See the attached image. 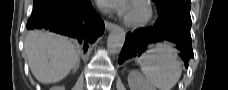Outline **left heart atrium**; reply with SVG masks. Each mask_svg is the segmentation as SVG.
Instances as JSON below:
<instances>
[{
	"mask_svg": "<svg viewBox=\"0 0 228 90\" xmlns=\"http://www.w3.org/2000/svg\"><path fill=\"white\" fill-rule=\"evenodd\" d=\"M129 6H127L126 3H121L120 5L117 6V9L119 13L126 15L128 11Z\"/></svg>",
	"mask_w": 228,
	"mask_h": 90,
	"instance_id": "left-heart-atrium-1",
	"label": "left heart atrium"
}]
</instances>
